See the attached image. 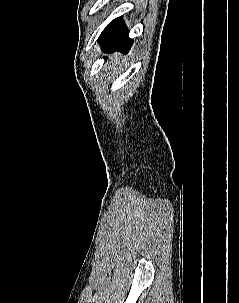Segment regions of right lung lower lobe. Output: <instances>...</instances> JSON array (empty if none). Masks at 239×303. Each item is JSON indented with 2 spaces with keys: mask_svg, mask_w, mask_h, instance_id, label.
<instances>
[{
  "mask_svg": "<svg viewBox=\"0 0 239 303\" xmlns=\"http://www.w3.org/2000/svg\"><path fill=\"white\" fill-rule=\"evenodd\" d=\"M98 41L104 51L117 49L128 52L132 45V39L128 37V31L124 26L122 17L111 21L101 33Z\"/></svg>",
  "mask_w": 239,
  "mask_h": 303,
  "instance_id": "obj_1",
  "label": "right lung lower lobe"
}]
</instances>
